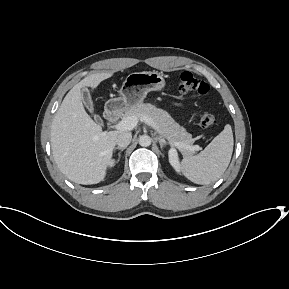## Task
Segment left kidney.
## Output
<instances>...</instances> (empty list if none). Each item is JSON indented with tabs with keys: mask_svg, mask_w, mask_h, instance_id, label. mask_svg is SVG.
<instances>
[{
	"mask_svg": "<svg viewBox=\"0 0 289 289\" xmlns=\"http://www.w3.org/2000/svg\"><path fill=\"white\" fill-rule=\"evenodd\" d=\"M168 155H169L170 164L177 172H179L180 171V163H179L177 150L175 148H171L168 152Z\"/></svg>",
	"mask_w": 289,
	"mask_h": 289,
	"instance_id": "obj_1",
	"label": "left kidney"
}]
</instances>
